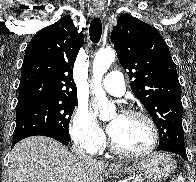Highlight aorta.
I'll return each instance as SVG.
<instances>
[{"label": "aorta", "instance_id": "obj_1", "mask_svg": "<svg viewBox=\"0 0 196 182\" xmlns=\"http://www.w3.org/2000/svg\"><path fill=\"white\" fill-rule=\"evenodd\" d=\"M116 54L111 49L100 50L93 61V94L99 107V118L107 121L115 114V105L110 104L102 87V77L115 60Z\"/></svg>", "mask_w": 196, "mask_h": 182}]
</instances>
